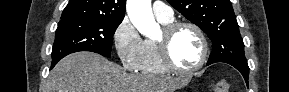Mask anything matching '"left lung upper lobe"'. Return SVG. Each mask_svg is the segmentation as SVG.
Listing matches in <instances>:
<instances>
[{"label": "left lung upper lobe", "instance_id": "left-lung-upper-lobe-1", "mask_svg": "<svg viewBox=\"0 0 289 92\" xmlns=\"http://www.w3.org/2000/svg\"><path fill=\"white\" fill-rule=\"evenodd\" d=\"M211 39L208 63L247 62L244 43L230 0H167Z\"/></svg>", "mask_w": 289, "mask_h": 92}]
</instances>
